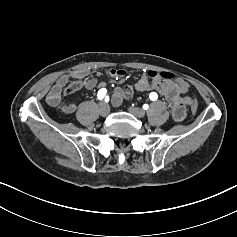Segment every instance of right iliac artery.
Returning a JSON list of instances; mask_svg holds the SVG:
<instances>
[{"label":"right iliac artery","instance_id":"1","mask_svg":"<svg viewBox=\"0 0 237 237\" xmlns=\"http://www.w3.org/2000/svg\"><path fill=\"white\" fill-rule=\"evenodd\" d=\"M106 93H107V90L105 88L100 89L97 94L98 99L102 100L105 97Z\"/></svg>","mask_w":237,"mask_h":237}]
</instances>
